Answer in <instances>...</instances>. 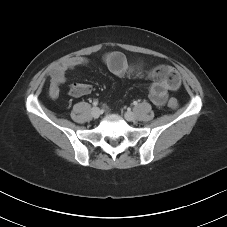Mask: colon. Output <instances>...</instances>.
I'll use <instances>...</instances> for the list:
<instances>
[{
	"label": "colon",
	"mask_w": 227,
	"mask_h": 227,
	"mask_svg": "<svg viewBox=\"0 0 227 227\" xmlns=\"http://www.w3.org/2000/svg\"><path fill=\"white\" fill-rule=\"evenodd\" d=\"M156 74L159 80L170 85V86H178L179 84V76L176 70L167 65H161L156 68ZM167 105L171 109H177L179 106L178 101L175 98H170L167 101Z\"/></svg>",
	"instance_id": "obj_1"
}]
</instances>
